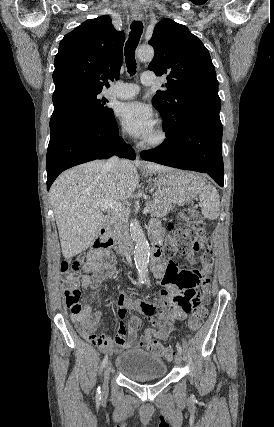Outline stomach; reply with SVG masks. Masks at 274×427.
<instances>
[{"label": "stomach", "instance_id": "obj_1", "mask_svg": "<svg viewBox=\"0 0 274 427\" xmlns=\"http://www.w3.org/2000/svg\"><path fill=\"white\" fill-rule=\"evenodd\" d=\"M199 180L201 178L198 174H188L172 168L168 172H160L153 182L172 204L184 206L194 198Z\"/></svg>", "mask_w": 274, "mask_h": 427}]
</instances>
